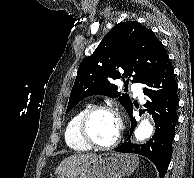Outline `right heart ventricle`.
I'll return each mask as SVG.
<instances>
[{"label":"right heart ventricle","instance_id":"1","mask_svg":"<svg viewBox=\"0 0 194 178\" xmlns=\"http://www.w3.org/2000/svg\"><path fill=\"white\" fill-rule=\"evenodd\" d=\"M86 108L78 110L69 120L66 130H65V142L67 146L75 151H86L90 149L80 138L77 132V126L82 114L85 112Z\"/></svg>","mask_w":194,"mask_h":178}]
</instances>
